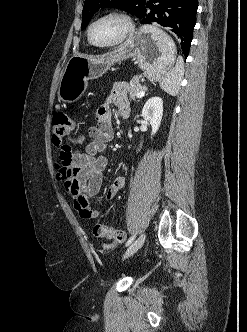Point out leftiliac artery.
Listing matches in <instances>:
<instances>
[{"label":"left iliac artery","instance_id":"left-iliac-artery-1","mask_svg":"<svg viewBox=\"0 0 247 332\" xmlns=\"http://www.w3.org/2000/svg\"><path fill=\"white\" fill-rule=\"evenodd\" d=\"M135 238H136V234H134L133 236H131V237L128 239V241L126 242L125 246L130 245V244L134 241Z\"/></svg>","mask_w":247,"mask_h":332}]
</instances>
